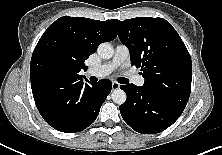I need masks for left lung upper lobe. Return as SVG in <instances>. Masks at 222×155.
Returning a JSON list of instances; mask_svg holds the SVG:
<instances>
[{
  "label": "left lung upper lobe",
  "mask_w": 222,
  "mask_h": 155,
  "mask_svg": "<svg viewBox=\"0 0 222 155\" xmlns=\"http://www.w3.org/2000/svg\"><path fill=\"white\" fill-rule=\"evenodd\" d=\"M132 65L141 68L146 90L188 102L191 91L190 54L173 26L163 18L113 19Z\"/></svg>",
  "instance_id": "5c2ea615"
}]
</instances>
